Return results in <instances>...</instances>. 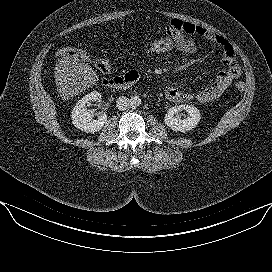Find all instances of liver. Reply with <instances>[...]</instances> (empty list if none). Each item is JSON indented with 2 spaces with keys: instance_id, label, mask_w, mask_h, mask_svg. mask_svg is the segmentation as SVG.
Returning <instances> with one entry per match:
<instances>
[{
  "instance_id": "liver-1",
  "label": "liver",
  "mask_w": 272,
  "mask_h": 272,
  "mask_svg": "<svg viewBox=\"0 0 272 272\" xmlns=\"http://www.w3.org/2000/svg\"><path fill=\"white\" fill-rule=\"evenodd\" d=\"M97 81L98 76L93 69L77 57L63 56L55 65V83L64 101L95 85Z\"/></svg>"
}]
</instances>
